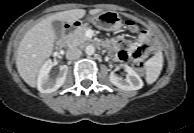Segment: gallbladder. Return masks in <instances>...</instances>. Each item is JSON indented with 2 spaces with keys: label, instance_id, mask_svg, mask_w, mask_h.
Returning a JSON list of instances; mask_svg holds the SVG:
<instances>
[{
  "label": "gallbladder",
  "instance_id": "gallbladder-1",
  "mask_svg": "<svg viewBox=\"0 0 194 133\" xmlns=\"http://www.w3.org/2000/svg\"><path fill=\"white\" fill-rule=\"evenodd\" d=\"M52 26H53L56 37L57 38L62 37L63 32H64L63 24L60 21H53Z\"/></svg>",
  "mask_w": 194,
  "mask_h": 133
}]
</instances>
